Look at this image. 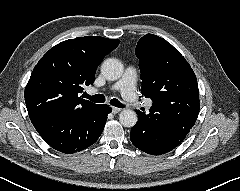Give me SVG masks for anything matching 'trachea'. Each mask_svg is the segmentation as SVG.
<instances>
[{
	"label": "trachea",
	"instance_id": "1",
	"mask_svg": "<svg viewBox=\"0 0 240 191\" xmlns=\"http://www.w3.org/2000/svg\"><path fill=\"white\" fill-rule=\"evenodd\" d=\"M85 97L88 98L90 101H92L94 103H104L105 102V97L102 94H96V95H93V96L85 94ZM110 104L115 106V107H118V108H123L124 107V105L122 103H120L115 98L110 100Z\"/></svg>",
	"mask_w": 240,
	"mask_h": 191
}]
</instances>
